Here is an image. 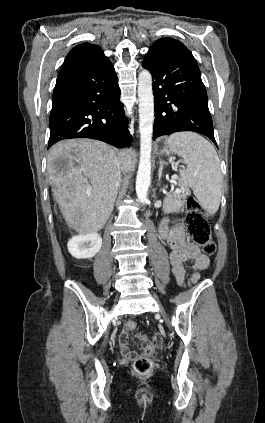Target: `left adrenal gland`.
Instances as JSON below:
<instances>
[{
	"label": "left adrenal gland",
	"instance_id": "left-adrenal-gland-1",
	"mask_svg": "<svg viewBox=\"0 0 265 423\" xmlns=\"http://www.w3.org/2000/svg\"><path fill=\"white\" fill-rule=\"evenodd\" d=\"M165 164L166 163L164 161H160V163H159V179L161 178V173H162V170H163V166Z\"/></svg>",
	"mask_w": 265,
	"mask_h": 423
}]
</instances>
